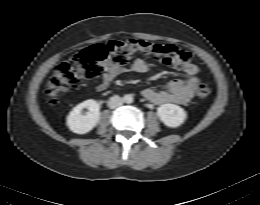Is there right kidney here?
<instances>
[{
	"label": "right kidney",
	"instance_id": "obj_1",
	"mask_svg": "<svg viewBox=\"0 0 260 205\" xmlns=\"http://www.w3.org/2000/svg\"><path fill=\"white\" fill-rule=\"evenodd\" d=\"M89 110L87 114H83V109ZM100 105L94 100H86L76 107L67 116V126L77 134H86L91 131L99 122Z\"/></svg>",
	"mask_w": 260,
	"mask_h": 205
}]
</instances>
